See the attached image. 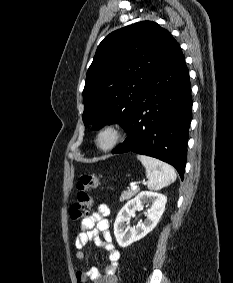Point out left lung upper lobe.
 <instances>
[{"mask_svg": "<svg viewBox=\"0 0 233 283\" xmlns=\"http://www.w3.org/2000/svg\"><path fill=\"white\" fill-rule=\"evenodd\" d=\"M177 41L152 21L118 29L99 44L83 90L85 127L118 122L123 128L139 103L147 80Z\"/></svg>", "mask_w": 233, "mask_h": 283, "instance_id": "5c2ea615", "label": "left lung upper lobe"}]
</instances>
